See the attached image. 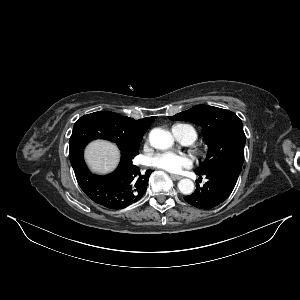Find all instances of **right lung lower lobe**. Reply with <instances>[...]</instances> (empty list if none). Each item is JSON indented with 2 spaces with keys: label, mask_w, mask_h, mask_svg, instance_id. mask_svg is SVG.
<instances>
[{
  "label": "right lung lower lobe",
  "mask_w": 300,
  "mask_h": 300,
  "mask_svg": "<svg viewBox=\"0 0 300 300\" xmlns=\"http://www.w3.org/2000/svg\"><path fill=\"white\" fill-rule=\"evenodd\" d=\"M80 188L95 203L109 209H123L140 200L148 185L152 170L144 174L140 169L121 157L118 168L106 176L89 172L83 157L72 164Z\"/></svg>",
  "instance_id": "right-lung-lower-lobe-1"
}]
</instances>
